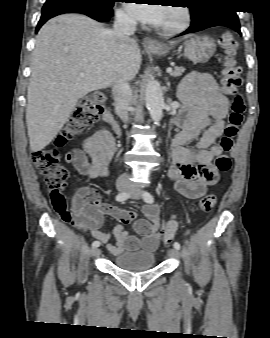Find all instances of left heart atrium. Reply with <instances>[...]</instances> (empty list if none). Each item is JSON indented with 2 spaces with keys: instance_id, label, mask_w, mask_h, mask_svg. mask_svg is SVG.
Here are the masks:
<instances>
[{
  "instance_id": "39dd6f15",
  "label": "left heart atrium",
  "mask_w": 270,
  "mask_h": 338,
  "mask_svg": "<svg viewBox=\"0 0 270 338\" xmlns=\"http://www.w3.org/2000/svg\"><path fill=\"white\" fill-rule=\"evenodd\" d=\"M137 1V0H131ZM153 2V0H150ZM138 2V1H137ZM155 2V1H154ZM131 13L139 20L149 23L158 24L163 16V7L161 5L126 3Z\"/></svg>"
}]
</instances>
